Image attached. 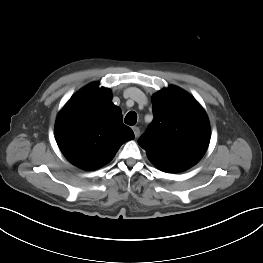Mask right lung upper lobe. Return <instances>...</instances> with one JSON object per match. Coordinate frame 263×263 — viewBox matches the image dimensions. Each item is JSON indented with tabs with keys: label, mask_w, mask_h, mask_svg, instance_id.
Returning a JSON list of instances; mask_svg holds the SVG:
<instances>
[{
	"label": "right lung upper lobe",
	"mask_w": 263,
	"mask_h": 263,
	"mask_svg": "<svg viewBox=\"0 0 263 263\" xmlns=\"http://www.w3.org/2000/svg\"><path fill=\"white\" fill-rule=\"evenodd\" d=\"M107 88L91 83L77 92L58 114L57 144L65 157L84 170L109 163L122 144L134 138L123 124L121 109Z\"/></svg>",
	"instance_id": "right-lung-upper-lobe-1"
}]
</instances>
